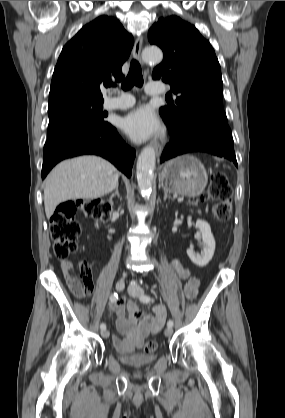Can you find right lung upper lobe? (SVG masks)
<instances>
[{"label":"right lung upper lobe","mask_w":285,"mask_h":418,"mask_svg":"<svg viewBox=\"0 0 285 418\" xmlns=\"http://www.w3.org/2000/svg\"><path fill=\"white\" fill-rule=\"evenodd\" d=\"M134 39L120 22L100 16L85 25L62 49L49 93V105L67 101L103 102L100 85L121 81Z\"/></svg>","instance_id":"cb5924a9"}]
</instances>
